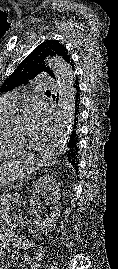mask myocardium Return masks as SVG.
Segmentation results:
<instances>
[{
  "label": "myocardium",
  "instance_id": "obj_1",
  "mask_svg": "<svg viewBox=\"0 0 118 269\" xmlns=\"http://www.w3.org/2000/svg\"><path fill=\"white\" fill-rule=\"evenodd\" d=\"M18 117H19L18 115H13V116L10 118L9 122H8V124H9V125H8V130H9L10 136H11V138H12L13 140L18 141V142L21 144L22 148H23L24 145H29V146H31V144H30L27 140H25L23 137H21V136L15 134L14 131H13V129H12V124H13L14 120H15L16 118H18Z\"/></svg>",
  "mask_w": 118,
  "mask_h": 269
}]
</instances>
